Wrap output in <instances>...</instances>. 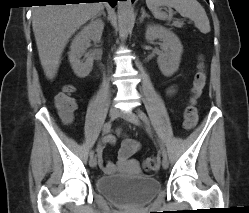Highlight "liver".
<instances>
[{"instance_id":"6515ba94","label":"liver","mask_w":249,"mask_h":213,"mask_svg":"<svg viewBox=\"0 0 249 213\" xmlns=\"http://www.w3.org/2000/svg\"><path fill=\"white\" fill-rule=\"evenodd\" d=\"M103 9L102 2L33 6L32 28L39 59L48 79L55 77L71 36Z\"/></svg>"}]
</instances>
